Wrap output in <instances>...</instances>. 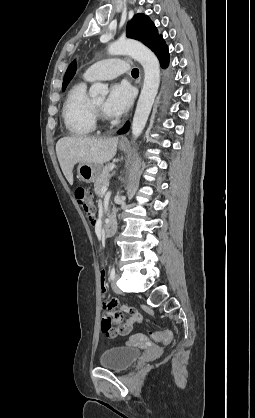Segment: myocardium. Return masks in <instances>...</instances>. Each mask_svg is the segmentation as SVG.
Here are the masks:
<instances>
[{"instance_id": "1", "label": "myocardium", "mask_w": 255, "mask_h": 418, "mask_svg": "<svg viewBox=\"0 0 255 418\" xmlns=\"http://www.w3.org/2000/svg\"><path fill=\"white\" fill-rule=\"evenodd\" d=\"M92 104H93V109H94L95 117H98L100 115V108L95 103L92 102Z\"/></svg>"}]
</instances>
